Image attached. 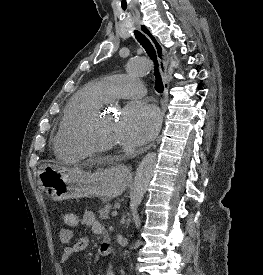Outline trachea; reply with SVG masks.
Instances as JSON below:
<instances>
[{
	"mask_svg": "<svg viewBox=\"0 0 263 275\" xmlns=\"http://www.w3.org/2000/svg\"><path fill=\"white\" fill-rule=\"evenodd\" d=\"M134 35H135V38L137 39V41L140 43V45H142V47L145 49L148 56L154 62V65H155L154 75L156 78L155 89L158 93H162L164 90V86H163V82H162V79H161V76L159 73V69H158V61H157L156 51H155L152 43L150 42V40L144 34H142L140 31L134 30Z\"/></svg>",
	"mask_w": 263,
	"mask_h": 275,
	"instance_id": "1",
	"label": "trachea"
}]
</instances>
